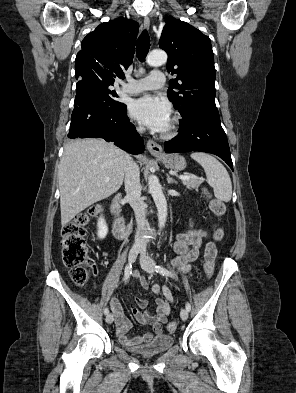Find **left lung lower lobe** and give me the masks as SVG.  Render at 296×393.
Returning <instances> with one entry per match:
<instances>
[{"label":"left lung lower lobe","mask_w":296,"mask_h":393,"mask_svg":"<svg viewBox=\"0 0 296 393\" xmlns=\"http://www.w3.org/2000/svg\"><path fill=\"white\" fill-rule=\"evenodd\" d=\"M166 153L201 151L222 158L233 170L226 134L221 126L218 110H201L180 124V132L165 142Z\"/></svg>","instance_id":"left-lung-lower-lobe-1"}]
</instances>
